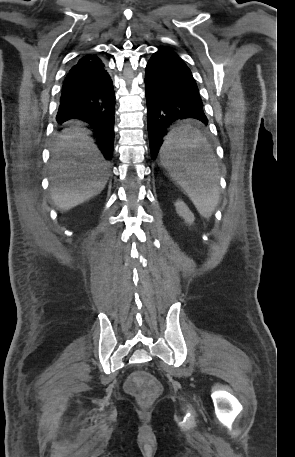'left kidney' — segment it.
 Segmentation results:
<instances>
[{
    "instance_id": "1",
    "label": "left kidney",
    "mask_w": 295,
    "mask_h": 457,
    "mask_svg": "<svg viewBox=\"0 0 295 457\" xmlns=\"http://www.w3.org/2000/svg\"><path fill=\"white\" fill-rule=\"evenodd\" d=\"M175 207H176V211L179 214V216L183 217L186 223H188L190 225L193 224L194 215L183 201L178 200L175 203Z\"/></svg>"
}]
</instances>
